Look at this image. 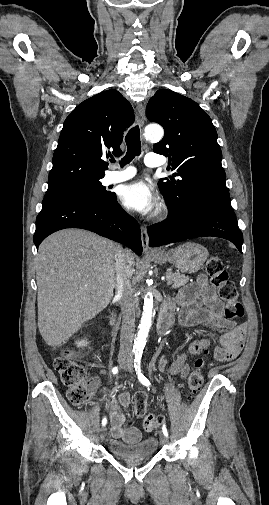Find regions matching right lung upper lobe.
Returning a JSON list of instances; mask_svg holds the SVG:
<instances>
[{
	"label": "right lung upper lobe",
	"mask_w": 269,
	"mask_h": 505,
	"mask_svg": "<svg viewBox=\"0 0 269 505\" xmlns=\"http://www.w3.org/2000/svg\"><path fill=\"white\" fill-rule=\"evenodd\" d=\"M134 119L132 106L114 89L79 104L64 121L48 189L103 178L108 164L102 158L122 153L123 132Z\"/></svg>",
	"instance_id": "obj_1"
}]
</instances>
